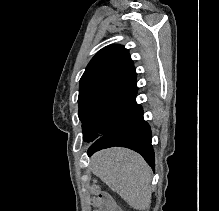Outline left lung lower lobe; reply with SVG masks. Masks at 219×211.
<instances>
[{
	"instance_id": "left-lung-lower-lobe-1",
	"label": "left lung lower lobe",
	"mask_w": 219,
	"mask_h": 211,
	"mask_svg": "<svg viewBox=\"0 0 219 211\" xmlns=\"http://www.w3.org/2000/svg\"><path fill=\"white\" fill-rule=\"evenodd\" d=\"M151 137L150 126L143 118V109L135 102L113 130L94 141L87 153L91 156L94 152L104 148L127 147L140 153L154 168L155 158Z\"/></svg>"
}]
</instances>
